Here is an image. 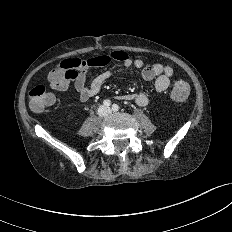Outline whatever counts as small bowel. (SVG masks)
<instances>
[{
    "label": "small bowel",
    "mask_w": 232,
    "mask_h": 232,
    "mask_svg": "<svg viewBox=\"0 0 232 232\" xmlns=\"http://www.w3.org/2000/svg\"><path fill=\"white\" fill-rule=\"evenodd\" d=\"M112 61L119 62L127 68L135 67L141 69V76L144 80H154V87L157 92H164L170 86V79L174 73V70L170 65L161 63L145 65L142 59L131 58L127 52L121 50L111 51L91 58L90 65L79 72L71 80H56L52 73L49 72L48 81L52 89L61 92L67 91L70 84L73 83L74 88L79 95V99L82 102H86L96 96L100 92L104 83L114 75L112 70L106 69L88 82V70L95 67H104ZM123 99L128 101L134 100L138 106L142 107L149 104V96L147 93L143 92L138 94H126L123 96Z\"/></svg>",
    "instance_id": "1"
}]
</instances>
